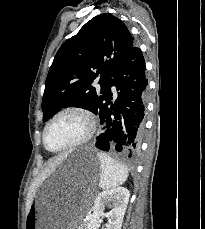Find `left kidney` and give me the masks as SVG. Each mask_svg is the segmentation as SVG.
<instances>
[{"mask_svg": "<svg viewBox=\"0 0 205 229\" xmlns=\"http://www.w3.org/2000/svg\"><path fill=\"white\" fill-rule=\"evenodd\" d=\"M129 197L130 192L124 187L113 188L99 193L95 198L93 214L89 218L87 229H98L103 217L108 219L107 229H121ZM105 206L111 209L108 214L104 213Z\"/></svg>", "mask_w": 205, "mask_h": 229, "instance_id": "5707ae66", "label": "left kidney"}]
</instances>
